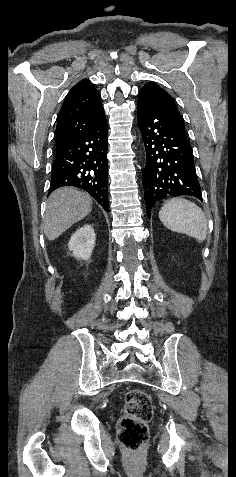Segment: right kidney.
I'll use <instances>...</instances> for the list:
<instances>
[{
  "label": "right kidney",
  "instance_id": "ca27d5eb",
  "mask_svg": "<svg viewBox=\"0 0 236 477\" xmlns=\"http://www.w3.org/2000/svg\"><path fill=\"white\" fill-rule=\"evenodd\" d=\"M96 235L91 225L80 227L70 238L68 248L72 251L73 256L88 260L95 246Z\"/></svg>",
  "mask_w": 236,
  "mask_h": 477
}]
</instances>
